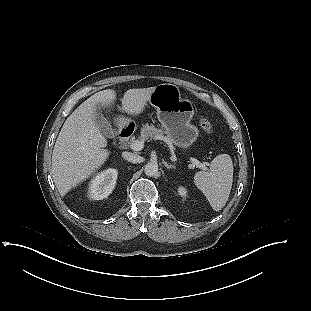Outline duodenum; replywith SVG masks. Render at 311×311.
Masks as SVG:
<instances>
[{
    "label": "duodenum",
    "instance_id": "duodenum-1",
    "mask_svg": "<svg viewBox=\"0 0 311 311\" xmlns=\"http://www.w3.org/2000/svg\"><path fill=\"white\" fill-rule=\"evenodd\" d=\"M132 134L130 126H121L118 131L116 143L118 146H123L127 143Z\"/></svg>",
    "mask_w": 311,
    "mask_h": 311
}]
</instances>
